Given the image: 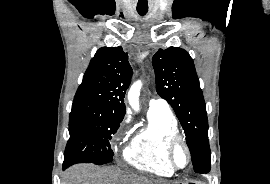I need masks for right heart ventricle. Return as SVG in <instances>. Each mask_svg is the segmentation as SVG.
Segmentation results:
<instances>
[{
  "instance_id": "obj_1",
  "label": "right heart ventricle",
  "mask_w": 270,
  "mask_h": 184,
  "mask_svg": "<svg viewBox=\"0 0 270 184\" xmlns=\"http://www.w3.org/2000/svg\"><path fill=\"white\" fill-rule=\"evenodd\" d=\"M177 120L169 108L148 110V123L133 136L124 151L131 166L158 176H172L174 170L166 160L168 138L178 133Z\"/></svg>"
}]
</instances>
